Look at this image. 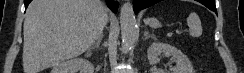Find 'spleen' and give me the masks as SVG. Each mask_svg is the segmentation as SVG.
Instances as JSON below:
<instances>
[{"label": "spleen", "instance_id": "obj_1", "mask_svg": "<svg viewBox=\"0 0 244 73\" xmlns=\"http://www.w3.org/2000/svg\"><path fill=\"white\" fill-rule=\"evenodd\" d=\"M189 34L192 37H200L202 35V26L199 16L196 13H190L187 18Z\"/></svg>", "mask_w": 244, "mask_h": 73}]
</instances>
